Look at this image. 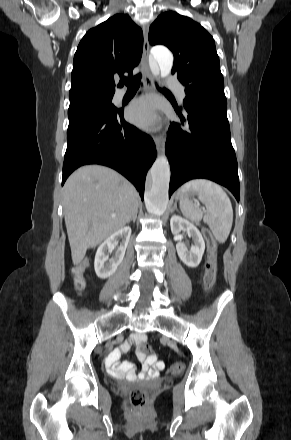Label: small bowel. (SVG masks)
Returning <instances> with one entry per match:
<instances>
[{
  "mask_svg": "<svg viewBox=\"0 0 291 440\" xmlns=\"http://www.w3.org/2000/svg\"><path fill=\"white\" fill-rule=\"evenodd\" d=\"M146 339L144 333L134 334L130 341L121 345L120 350L122 352H128L134 344L142 342ZM140 360L143 361L142 371L137 373L134 364L131 361H118V353L114 351L106 359L107 370L116 377H127L130 380H148L153 377L159 376L160 372L164 369L165 364L162 361L154 360L150 357L140 356ZM185 364L178 363L175 366L177 372L185 371Z\"/></svg>",
  "mask_w": 291,
  "mask_h": 440,
  "instance_id": "1",
  "label": "small bowel"
}]
</instances>
